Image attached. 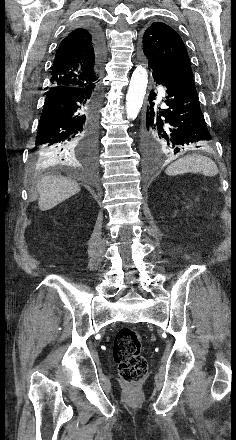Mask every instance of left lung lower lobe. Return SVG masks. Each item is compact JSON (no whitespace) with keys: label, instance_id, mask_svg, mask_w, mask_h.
I'll return each mask as SVG.
<instances>
[{"label":"left lung lower lobe","instance_id":"0a47b994","mask_svg":"<svg viewBox=\"0 0 236 440\" xmlns=\"http://www.w3.org/2000/svg\"><path fill=\"white\" fill-rule=\"evenodd\" d=\"M154 81L166 87L165 99L151 91L148 98L142 138L149 154L160 151L178 153L198 148L211 140L200 109L192 71L183 68L163 69L150 66ZM164 102L166 108H161Z\"/></svg>","mask_w":236,"mask_h":440}]
</instances>
